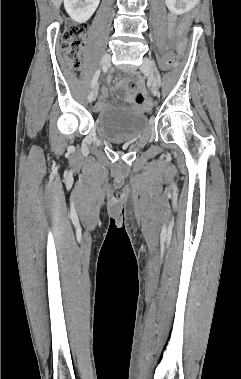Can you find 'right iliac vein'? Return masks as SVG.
Returning <instances> with one entry per match:
<instances>
[{
	"mask_svg": "<svg viewBox=\"0 0 241 379\" xmlns=\"http://www.w3.org/2000/svg\"><path fill=\"white\" fill-rule=\"evenodd\" d=\"M110 62H111V55L108 54V53L104 54L103 57H102V59H101L102 66L104 68H107L110 65ZM97 93H98V88L95 85L93 87V89L90 91L89 95H88V101L90 103L93 102L96 99Z\"/></svg>",
	"mask_w": 241,
	"mask_h": 379,
	"instance_id": "1",
	"label": "right iliac vein"
}]
</instances>
